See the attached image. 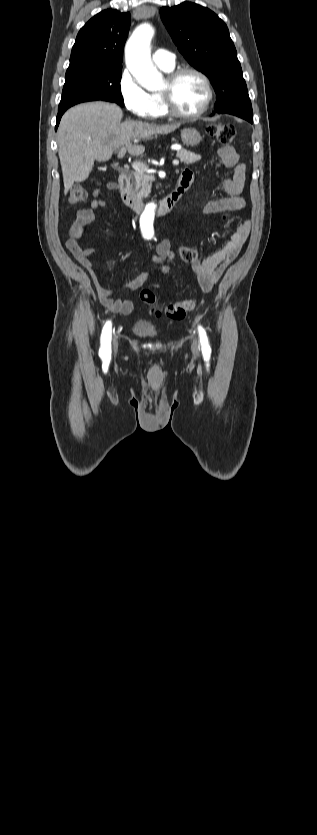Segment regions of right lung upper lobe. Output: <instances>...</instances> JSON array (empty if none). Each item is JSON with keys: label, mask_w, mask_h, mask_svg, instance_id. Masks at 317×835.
I'll use <instances>...</instances> for the list:
<instances>
[{"label": "right lung upper lobe", "mask_w": 317, "mask_h": 835, "mask_svg": "<svg viewBox=\"0 0 317 835\" xmlns=\"http://www.w3.org/2000/svg\"><path fill=\"white\" fill-rule=\"evenodd\" d=\"M130 27V13L104 10L79 31L69 67L78 65L122 67L123 48Z\"/></svg>", "instance_id": "cb5924a9"}]
</instances>
